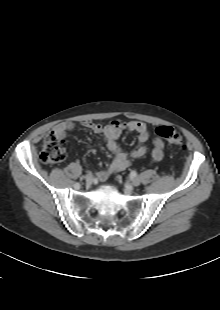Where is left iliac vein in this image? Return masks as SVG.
Segmentation results:
<instances>
[{"instance_id":"obj_1","label":"left iliac vein","mask_w":220,"mask_h":310,"mask_svg":"<svg viewBox=\"0 0 220 310\" xmlns=\"http://www.w3.org/2000/svg\"><path fill=\"white\" fill-rule=\"evenodd\" d=\"M140 183H141V181H140V179L137 178V177L131 179V184H132L133 186H139Z\"/></svg>"}]
</instances>
